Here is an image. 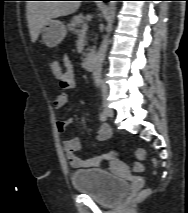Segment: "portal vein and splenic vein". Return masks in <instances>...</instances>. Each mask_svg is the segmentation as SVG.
I'll return each instance as SVG.
<instances>
[{"instance_id":"portal-vein-and-splenic-vein-1","label":"portal vein and splenic vein","mask_w":188,"mask_h":213,"mask_svg":"<svg viewBox=\"0 0 188 213\" xmlns=\"http://www.w3.org/2000/svg\"><path fill=\"white\" fill-rule=\"evenodd\" d=\"M87 29H88V25H87V24H84V25L82 26V29H81V32H80V33L85 34L86 31H87Z\"/></svg>"}]
</instances>
